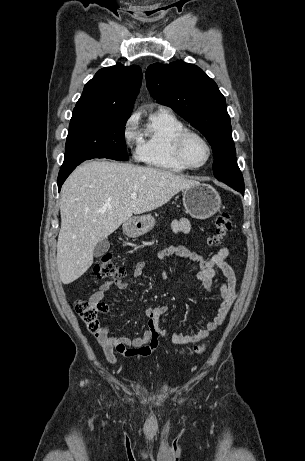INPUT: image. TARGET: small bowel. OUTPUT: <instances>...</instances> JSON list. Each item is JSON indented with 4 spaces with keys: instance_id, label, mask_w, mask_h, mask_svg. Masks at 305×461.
<instances>
[{
    "instance_id": "c3829d8e",
    "label": "small bowel",
    "mask_w": 305,
    "mask_h": 461,
    "mask_svg": "<svg viewBox=\"0 0 305 461\" xmlns=\"http://www.w3.org/2000/svg\"><path fill=\"white\" fill-rule=\"evenodd\" d=\"M172 229L175 232L187 233L190 231L191 225L187 219H178L173 222ZM173 256L197 263L199 266L197 278L204 288L208 291H212L215 288L217 289L221 303L217 309L216 315L211 320L207 321L205 327L195 328L194 330L181 333L168 331L160 325V318L168 312V306H147L145 312L148 327L142 336L133 338L117 337L112 335L107 327H103L96 333V339L102 347L106 360L109 363L115 364L117 362L115 352L127 357L148 356L158 347L160 338H165L175 345L196 343L207 338L211 332L219 328L226 320L236 299L237 285L235 271L227 261L229 249L227 247H222L209 258L184 246H167L158 253V258L160 260H167ZM145 267L146 263L144 261H139L133 270V277H141ZM217 270L222 272L226 280L215 287L214 280ZM161 276L163 279H166V273L164 271H162ZM113 285L122 291L126 290L129 286L127 282L120 279L114 282L105 281L93 294L92 299L97 301L103 300L105 294Z\"/></svg>"
}]
</instances>
